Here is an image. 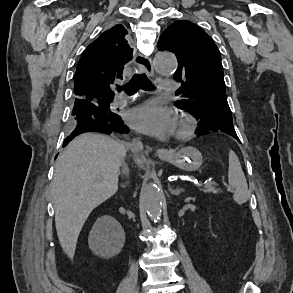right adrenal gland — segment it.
Wrapping results in <instances>:
<instances>
[{"label": "right adrenal gland", "instance_id": "1", "mask_svg": "<svg viewBox=\"0 0 293 293\" xmlns=\"http://www.w3.org/2000/svg\"><path fill=\"white\" fill-rule=\"evenodd\" d=\"M123 167H124V169H125V171H126V176H128V170H127V166L125 165V164H123ZM121 187H125V185H123V184H121Z\"/></svg>", "mask_w": 293, "mask_h": 293}]
</instances>
